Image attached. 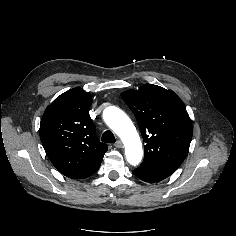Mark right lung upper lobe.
I'll return each mask as SVG.
<instances>
[{"label": "right lung upper lobe", "instance_id": "cb5924a9", "mask_svg": "<svg viewBox=\"0 0 236 236\" xmlns=\"http://www.w3.org/2000/svg\"><path fill=\"white\" fill-rule=\"evenodd\" d=\"M92 97L73 88L50 104L41 119L40 138L54 167L66 177L83 179L97 172L107 145L96 136L88 110Z\"/></svg>", "mask_w": 236, "mask_h": 236}]
</instances>
